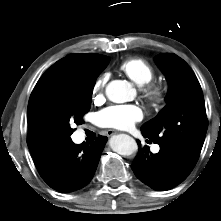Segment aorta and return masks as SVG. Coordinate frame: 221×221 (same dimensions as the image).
Segmentation results:
<instances>
[{
	"label": "aorta",
	"instance_id": "762f6f07",
	"mask_svg": "<svg viewBox=\"0 0 221 221\" xmlns=\"http://www.w3.org/2000/svg\"><path fill=\"white\" fill-rule=\"evenodd\" d=\"M134 94L135 90L127 81L114 80L106 87V95L108 99L115 103L127 102L134 96ZM110 145L113 151L120 155H131L138 149L135 140L125 134L113 136Z\"/></svg>",
	"mask_w": 221,
	"mask_h": 221
}]
</instances>
